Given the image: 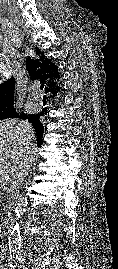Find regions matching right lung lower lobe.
Returning a JSON list of instances; mask_svg holds the SVG:
<instances>
[{"label":"right lung lower lobe","instance_id":"98d812e1","mask_svg":"<svg viewBox=\"0 0 118 269\" xmlns=\"http://www.w3.org/2000/svg\"><path fill=\"white\" fill-rule=\"evenodd\" d=\"M37 139H38V141H39V142H38V145H40V143H41L40 141L42 140V137L40 138V137L37 136Z\"/></svg>","mask_w":118,"mask_h":269}]
</instances>
